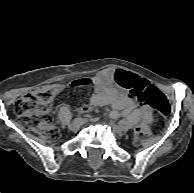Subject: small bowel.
<instances>
[{
  "mask_svg": "<svg viewBox=\"0 0 194 193\" xmlns=\"http://www.w3.org/2000/svg\"><path fill=\"white\" fill-rule=\"evenodd\" d=\"M115 75V70L105 69L92 77L93 92L89 97L90 105L112 106L113 110L108 115L112 119L128 116L131 119L136 120L141 117L145 123L149 122L152 117V109L149 106L138 108L130 95L120 94L118 88L114 84ZM150 85L153 86L145 79L140 78L138 81L139 88L143 89ZM89 110L90 109L87 106L81 108L83 113H88Z\"/></svg>",
  "mask_w": 194,
  "mask_h": 193,
  "instance_id": "small-bowel-1",
  "label": "small bowel"
}]
</instances>
